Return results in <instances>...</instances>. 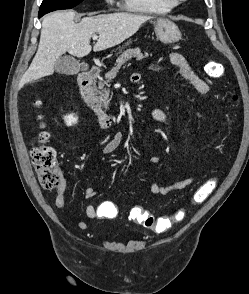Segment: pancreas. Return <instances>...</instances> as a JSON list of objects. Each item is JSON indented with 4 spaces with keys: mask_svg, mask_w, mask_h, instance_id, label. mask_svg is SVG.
I'll use <instances>...</instances> for the list:
<instances>
[{
    "mask_svg": "<svg viewBox=\"0 0 249 294\" xmlns=\"http://www.w3.org/2000/svg\"><path fill=\"white\" fill-rule=\"evenodd\" d=\"M148 57V53H142L139 48L128 49L118 59L116 60L115 67L111 69V71L105 74V81H99L98 83V94L100 95V101L102 103L103 108H109V98H110V90L104 88V86H110L109 82H111L118 74L120 68L127 63L132 58H136V60H142Z\"/></svg>",
    "mask_w": 249,
    "mask_h": 294,
    "instance_id": "cf45deb5",
    "label": "pancreas"
}]
</instances>
